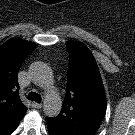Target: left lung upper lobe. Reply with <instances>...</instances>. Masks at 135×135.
Returning <instances> with one entry per match:
<instances>
[{
	"label": "left lung upper lobe",
	"instance_id": "5c2ea615",
	"mask_svg": "<svg viewBox=\"0 0 135 135\" xmlns=\"http://www.w3.org/2000/svg\"><path fill=\"white\" fill-rule=\"evenodd\" d=\"M70 59L66 96L58 116L46 118L57 135H93L106 112V98L97 63L81 42H66Z\"/></svg>",
	"mask_w": 135,
	"mask_h": 135
}]
</instances>
